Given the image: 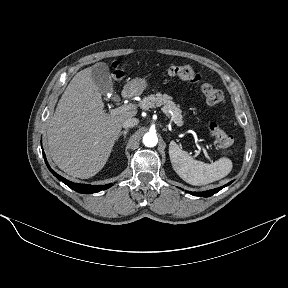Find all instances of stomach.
I'll use <instances>...</instances> for the list:
<instances>
[{"label": "stomach", "instance_id": "stomach-1", "mask_svg": "<svg viewBox=\"0 0 288 288\" xmlns=\"http://www.w3.org/2000/svg\"><path fill=\"white\" fill-rule=\"evenodd\" d=\"M148 87L146 78H135L129 81L124 89L130 96H138Z\"/></svg>", "mask_w": 288, "mask_h": 288}]
</instances>
